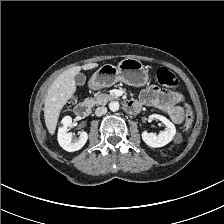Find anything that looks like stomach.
I'll return each instance as SVG.
<instances>
[{
    "label": "stomach",
    "mask_w": 224,
    "mask_h": 224,
    "mask_svg": "<svg viewBox=\"0 0 224 224\" xmlns=\"http://www.w3.org/2000/svg\"><path fill=\"white\" fill-rule=\"evenodd\" d=\"M149 73L145 66L137 59L126 58L117 66L105 64L91 77L89 85L93 89L110 87L121 81L125 84L142 87L148 83Z\"/></svg>",
    "instance_id": "obj_1"
}]
</instances>
